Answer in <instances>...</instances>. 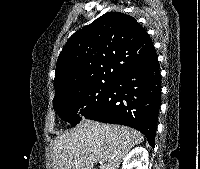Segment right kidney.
Listing matches in <instances>:
<instances>
[{
    "instance_id": "right-kidney-1",
    "label": "right kidney",
    "mask_w": 200,
    "mask_h": 169,
    "mask_svg": "<svg viewBox=\"0 0 200 169\" xmlns=\"http://www.w3.org/2000/svg\"><path fill=\"white\" fill-rule=\"evenodd\" d=\"M148 152L143 147H136L123 159L121 169H148Z\"/></svg>"
}]
</instances>
